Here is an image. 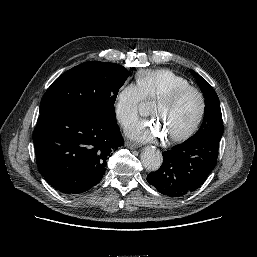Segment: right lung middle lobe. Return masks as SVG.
<instances>
[{
	"instance_id": "right-lung-middle-lobe-1",
	"label": "right lung middle lobe",
	"mask_w": 257,
	"mask_h": 257,
	"mask_svg": "<svg viewBox=\"0 0 257 257\" xmlns=\"http://www.w3.org/2000/svg\"><path fill=\"white\" fill-rule=\"evenodd\" d=\"M129 72L116 63L89 61L66 71L48 88L40 114L63 107L96 111L115 118L114 103Z\"/></svg>"
}]
</instances>
